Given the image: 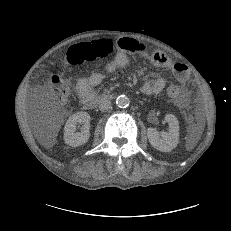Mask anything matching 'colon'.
<instances>
[{
	"label": "colon",
	"instance_id": "5ec220e1",
	"mask_svg": "<svg viewBox=\"0 0 231 231\" xmlns=\"http://www.w3.org/2000/svg\"><path fill=\"white\" fill-rule=\"evenodd\" d=\"M115 51V44L112 40H100L92 43L86 48L75 49L71 53V58L74 62H77L79 58H106L112 55ZM50 83L52 86V93L55 98L63 100L66 98L68 88L63 79L58 75H52L50 77ZM170 96H176L179 89L175 85H170L167 89Z\"/></svg>",
	"mask_w": 231,
	"mask_h": 231
}]
</instances>
